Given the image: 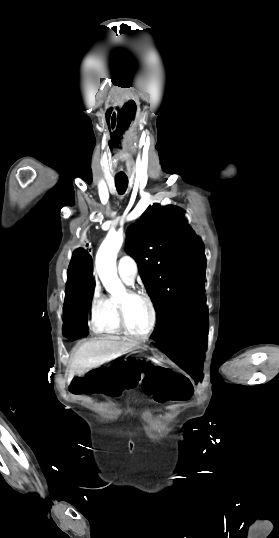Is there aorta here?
<instances>
[{
    "label": "aorta",
    "mask_w": 279,
    "mask_h": 538,
    "mask_svg": "<svg viewBox=\"0 0 279 538\" xmlns=\"http://www.w3.org/2000/svg\"><path fill=\"white\" fill-rule=\"evenodd\" d=\"M123 244L121 231L109 232L96 255V269L106 291L115 298L125 295V287L117 275L116 259Z\"/></svg>",
    "instance_id": "aorta-1"
}]
</instances>
